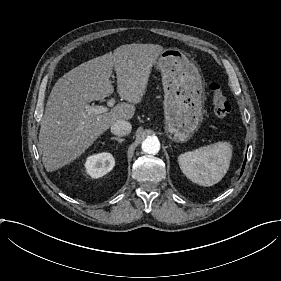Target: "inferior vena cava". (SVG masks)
Instances as JSON below:
<instances>
[{
    "label": "inferior vena cava",
    "mask_w": 281,
    "mask_h": 281,
    "mask_svg": "<svg viewBox=\"0 0 281 281\" xmlns=\"http://www.w3.org/2000/svg\"><path fill=\"white\" fill-rule=\"evenodd\" d=\"M131 123L125 120L117 121L111 126V132L118 136H127L131 133Z\"/></svg>",
    "instance_id": "602c4592"
}]
</instances>
